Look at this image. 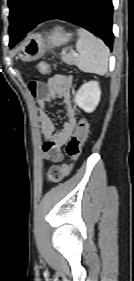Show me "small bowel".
<instances>
[{
    "label": "small bowel",
    "mask_w": 134,
    "mask_h": 281,
    "mask_svg": "<svg viewBox=\"0 0 134 281\" xmlns=\"http://www.w3.org/2000/svg\"><path fill=\"white\" fill-rule=\"evenodd\" d=\"M70 88V78L63 75H54L46 83L33 82L30 84V91L36 98L39 109V124L45 139L42 145L44 158L55 163L63 160L62 147L68 141L76 126ZM55 100H60L66 108V120L60 128L56 126L47 111Z\"/></svg>",
    "instance_id": "1"
}]
</instances>
